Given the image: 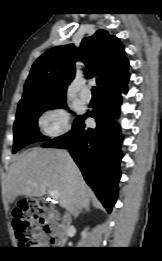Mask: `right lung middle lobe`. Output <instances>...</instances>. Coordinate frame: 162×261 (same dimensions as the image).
<instances>
[{"label":"right lung middle lobe","mask_w":162,"mask_h":261,"mask_svg":"<svg viewBox=\"0 0 162 261\" xmlns=\"http://www.w3.org/2000/svg\"><path fill=\"white\" fill-rule=\"evenodd\" d=\"M66 96H34L18 104L14 123L13 153L24 146L47 138L38 130V117L48 109L66 106Z\"/></svg>","instance_id":"right-lung-middle-lobe-1"}]
</instances>
